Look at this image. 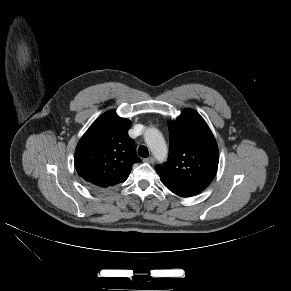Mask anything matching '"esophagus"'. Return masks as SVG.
I'll return each mask as SVG.
<instances>
[{
	"label": "esophagus",
	"instance_id": "esophagus-1",
	"mask_svg": "<svg viewBox=\"0 0 291 291\" xmlns=\"http://www.w3.org/2000/svg\"><path fill=\"white\" fill-rule=\"evenodd\" d=\"M143 161L150 163V164H153L155 162V159H154V157H148V158H145Z\"/></svg>",
	"mask_w": 291,
	"mask_h": 291
}]
</instances>
